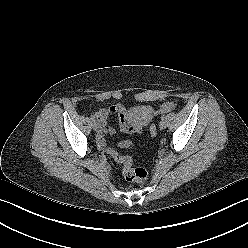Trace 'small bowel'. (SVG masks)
<instances>
[{
	"label": "small bowel",
	"instance_id": "c3829d8e",
	"mask_svg": "<svg viewBox=\"0 0 248 248\" xmlns=\"http://www.w3.org/2000/svg\"><path fill=\"white\" fill-rule=\"evenodd\" d=\"M173 107H174L173 103L168 102L162 106L161 110L170 111L173 109ZM146 109L149 112H152L151 108L146 107ZM114 113L118 114L119 127L121 131H123L124 133L131 134V133H140L142 131L141 125H133L127 121V116H126L127 112L123 105L116 104V105H111L107 108H101L97 111L95 116L99 124L97 144H98V147L102 150H104L107 146V142L105 139L106 134L107 133L113 134L115 131L113 126L108 125V117Z\"/></svg>",
	"mask_w": 248,
	"mask_h": 248
}]
</instances>
